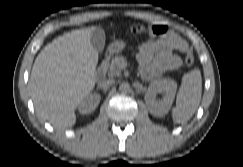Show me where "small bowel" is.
Returning <instances> with one entry per match:
<instances>
[{"instance_id":"1","label":"small bowel","mask_w":243,"mask_h":167,"mask_svg":"<svg viewBox=\"0 0 243 167\" xmlns=\"http://www.w3.org/2000/svg\"><path fill=\"white\" fill-rule=\"evenodd\" d=\"M186 48V41L173 31L166 32L156 40L142 43L137 49L142 78L154 80L166 71L178 69L181 59L175 52H184Z\"/></svg>"}]
</instances>
